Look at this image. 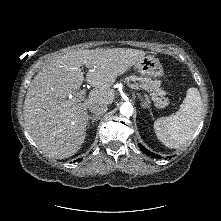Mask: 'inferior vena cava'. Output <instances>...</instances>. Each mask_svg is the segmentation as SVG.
<instances>
[{
	"label": "inferior vena cava",
	"mask_w": 221,
	"mask_h": 221,
	"mask_svg": "<svg viewBox=\"0 0 221 221\" xmlns=\"http://www.w3.org/2000/svg\"><path fill=\"white\" fill-rule=\"evenodd\" d=\"M89 110L94 116L100 117L107 111V104L95 102L89 106Z\"/></svg>",
	"instance_id": "inferior-vena-cava-1"
}]
</instances>
